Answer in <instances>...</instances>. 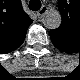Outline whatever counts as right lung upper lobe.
<instances>
[{
  "label": "right lung upper lobe",
  "instance_id": "1",
  "mask_svg": "<svg viewBox=\"0 0 80 80\" xmlns=\"http://www.w3.org/2000/svg\"><path fill=\"white\" fill-rule=\"evenodd\" d=\"M31 23V18L23 11L21 5L18 6L16 12L6 15V22L1 25L0 42L16 44Z\"/></svg>",
  "mask_w": 80,
  "mask_h": 80
}]
</instances>
